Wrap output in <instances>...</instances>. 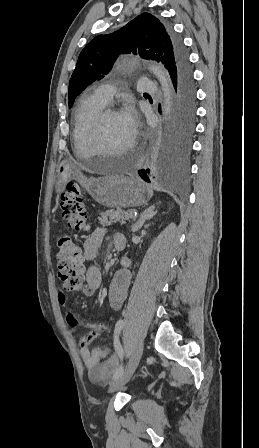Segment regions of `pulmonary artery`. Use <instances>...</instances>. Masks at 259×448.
Wrapping results in <instances>:
<instances>
[{
  "label": "pulmonary artery",
  "instance_id": "1",
  "mask_svg": "<svg viewBox=\"0 0 259 448\" xmlns=\"http://www.w3.org/2000/svg\"><path fill=\"white\" fill-rule=\"evenodd\" d=\"M94 92L98 99L106 104L109 103L114 95V89L111 83L96 86Z\"/></svg>",
  "mask_w": 259,
  "mask_h": 448
}]
</instances>
